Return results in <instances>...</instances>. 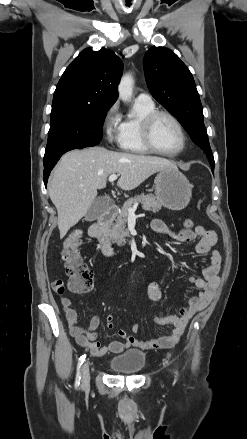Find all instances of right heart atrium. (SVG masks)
I'll return each instance as SVG.
<instances>
[{
	"label": "right heart atrium",
	"instance_id": "obj_1",
	"mask_svg": "<svg viewBox=\"0 0 247 439\" xmlns=\"http://www.w3.org/2000/svg\"><path fill=\"white\" fill-rule=\"evenodd\" d=\"M102 129L109 145H119L122 136V122L116 103L106 110L102 120Z\"/></svg>",
	"mask_w": 247,
	"mask_h": 439
}]
</instances>
